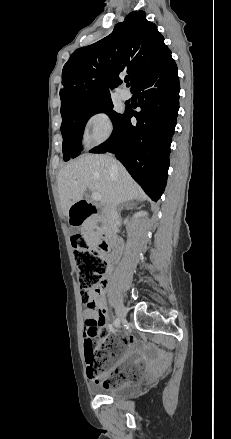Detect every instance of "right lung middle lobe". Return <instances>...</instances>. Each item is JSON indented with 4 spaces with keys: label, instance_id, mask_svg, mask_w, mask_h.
<instances>
[{
    "label": "right lung middle lobe",
    "instance_id": "dd1d6c3e",
    "mask_svg": "<svg viewBox=\"0 0 231 439\" xmlns=\"http://www.w3.org/2000/svg\"><path fill=\"white\" fill-rule=\"evenodd\" d=\"M101 112L109 115L113 125L122 116L113 110L111 97L82 102L61 112V133L65 161L75 158L80 154L82 150V135L86 122L92 115Z\"/></svg>",
    "mask_w": 231,
    "mask_h": 439
}]
</instances>
